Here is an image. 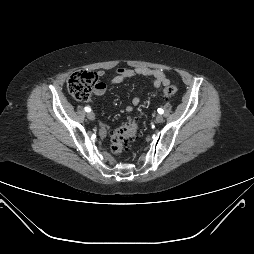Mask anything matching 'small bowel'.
<instances>
[{
	"instance_id": "obj_1",
	"label": "small bowel",
	"mask_w": 254,
	"mask_h": 254,
	"mask_svg": "<svg viewBox=\"0 0 254 254\" xmlns=\"http://www.w3.org/2000/svg\"><path fill=\"white\" fill-rule=\"evenodd\" d=\"M98 75L103 76L104 72L99 71ZM136 76L151 77L153 79V85L155 88H159L161 86H167L170 83L169 79L167 78V76L162 70L150 69L147 67H137L134 69L118 68L115 71V74L112 77L110 84L112 85L120 84L123 81L132 77H136ZM106 89H107V85L104 82L99 81L98 87L94 89V94L101 96L105 93ZM139 104H140V98L138 96L133 97L132 105H128L126 107V111L131 112L133 110V106H138ZM100 132L103 136H107L109 134V129L106 125H102L100 128Z\"/></svg>"
}]
</instances>
